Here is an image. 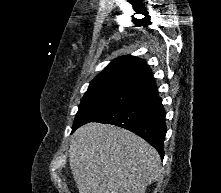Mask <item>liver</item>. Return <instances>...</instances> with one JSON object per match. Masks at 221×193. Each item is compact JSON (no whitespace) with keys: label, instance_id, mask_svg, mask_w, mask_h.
Here are the masks:
<instances>
[{"label":"liver","instance_id":"6515ba94","mask_svg":"<svg viewBox=\"0 0 221 193\" xmlns=\"http://www.w3.org/2000/svg\"><path fill=\"white\" fill-rule=\"evenodd\" d=\"M160 162L144 139L113 125L87 123L71 139L69 164L79 193H145L160 176Z\"/></svg>","mask_w":221,"mask_h":193}]
</instances>
